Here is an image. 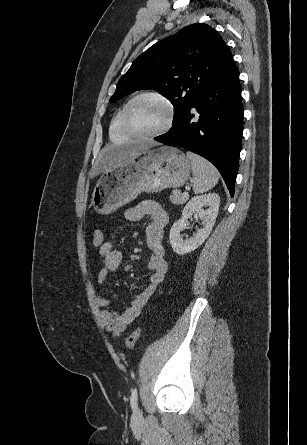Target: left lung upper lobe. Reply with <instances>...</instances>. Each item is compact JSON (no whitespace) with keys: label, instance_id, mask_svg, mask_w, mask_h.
Wrapping results in <instances>:
<instances>
[{"label":"left lung upper lobe","instance_id":"obj_1","mask_svg":"<svg viewBox=\"0 0 307 445\" xmlns=\"http://www.w3.org/2000/svg\"><path fill=\"white\" fill-rule=\"evenodd\" d=\"M232 60L216 30L204 23L191 24L142 53L120 78L109 101L142 89L156 90L173 104L175 125Z\"/></svg>","mask_w":307,"mask_h":445}]
</instances>
